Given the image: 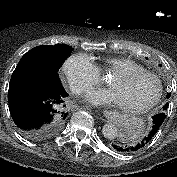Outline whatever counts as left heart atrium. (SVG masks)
<instances>
[{
	"label": "left heart atrium",
	"mask_w": 177,
	"mask_h": 177,
	"mask_svg": "<svg viewBox=\"0 0 177 177\" xmlns=\"http://www.w3.org/2000/svg\"><path fill=\"white\" fill-rule=\"evenodd\" d=\"M87 100L95 105L119 104L116 93L111 88L92 90L88 93Z\"/></svg>",
	"instance_id": "obj_1"
}]
</instances>
